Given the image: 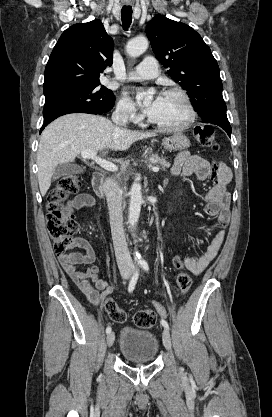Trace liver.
<instances>
[{
  "mask_svg": "<svg viewBox=\"0 0 272 417\" xmlns=\"http://www.w3.org/2000/svg\"><path fill=\"white\" fill-rule=\"evenodd\" d=\"M155 135L125 129L92 114H68L56 119L42 132L37 152L41 195L48 191L55 168L73 162L82 151H125L134 142Z\"/></svg>",
  "mask_w": 272,
  "mask_h": 417,
  "instance_id": "liver-1",
  "label": "liver"
}]
</instances>
